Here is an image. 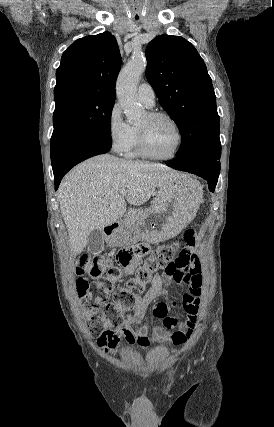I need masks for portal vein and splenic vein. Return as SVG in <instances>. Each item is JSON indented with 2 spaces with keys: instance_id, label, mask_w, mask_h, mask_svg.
<instances>
[{
  "instance_id": "obj_1",
  "label": "portal vein and splenic vein",
  "mask_w": 274,
  "mask_h": 427,
  "mask_svg": "<svg viewBox=\"0 0 274 427\" xmlns=\"http://www.w3.org/2000/svg\"><path fill=\"white\" fill-rule=\"evenodd\" d=\"M119 194H121V196H127V190H119Z\"/></svg>"
}]
</instances>
